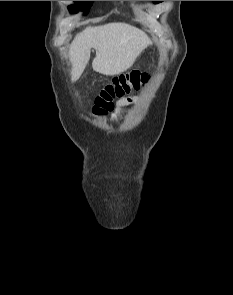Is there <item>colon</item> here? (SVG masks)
<instances>
[{
	"instance_id": "obj_1",
	"label": "colon",
	"mask_w": 233,
	"mask_h": 295,
	"mask_svg": "<svg viewBox=\"0 0 233 295\" xmlns=\"http://www.w3.org/2000/svg\"><path fill=\"white\" fill-rule=\"evenodd\" d=\"M148 81V76L139 71L120 74L112 79L96 97L93 113L96 116H106L114 109V100L124 97L132 90H138Z\"/></svg>"
}]
</instances>
